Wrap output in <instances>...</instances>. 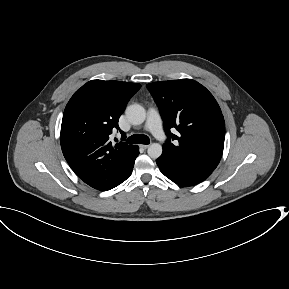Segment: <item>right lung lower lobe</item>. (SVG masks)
<instances>
[{
  "instance_id": "98d812e1",
  "label": "right lung lower lobe",
  "mask_w": 289,
  "mask_h": 289,
  "mask_svg": "<svg viewBox=\"0 0 289 289\" xmlns=\"http://www.w3.org/2000/svg\"><path fill=\"white\" fill-rule=\"evenodd\" d=\"M138 155H139V148H138V146H136V148L133 151V155L131 157V160H130L128 168L126 169V171L123 174V176L119 179V181L112 188H114V187L118 186L119 184H121L122 182H124L131 175L132 169H133V166H134V161H135V159H136V157Z\"/></svg>"
}]
</instances>
